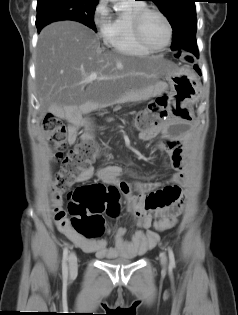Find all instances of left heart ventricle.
<instances>
[{
	"mask_svg": "<svg viewBox=\"0 0 238 315\" xmlns=\"http://www.w3.org/2000/svg\"><path fill=\"white\" fill-rule=\"evenodd\" d=\"M144 39L155 47L164 45L167 41L168 31L163 19L153 13L148 14L142 24Z\"/></svg>",
	"mask_w": 238,
	"mask_h": 315,
	"instance_id": "obj_1",
	"label": "left heart ventricle"
}]
</instances>
